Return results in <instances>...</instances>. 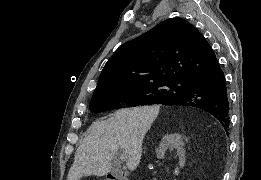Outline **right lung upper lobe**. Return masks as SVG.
<instances>
[{
	"label": "right lung upper lobe",
	"mask_w": 261,
	"mask_h": 180,
	"mask_svg": "<svg viewBox=\"0 0 261 180\" xmlns=\"http://www.w3.org/2000/svg\"><path fill=\"white\" fill-rule=\"evenodd\" d=\"M217 64L212 47L193 25L182 18L167 19L113 54L92 99L161 80L189 81Z\"/></svg>",
	"instance_id": "1"
}]
</instances>
